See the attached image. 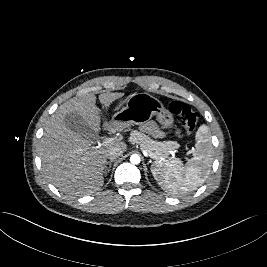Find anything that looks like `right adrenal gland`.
I'll use <instances>...</instances> for the list:
<instances>
[{
	"mask_svg": "<svg viewBox=\"0 0 267 267\" xmlns=\"http://www.w3.org/2000/svg\"><path fill=\"white\" fill-rule=\"evenodd\" d=\"M114 162V160H110L106 163L105 165V173L108 174L110 172V169H111V165L112 163Z\"/></svg>",
	"mask_w": 267,
	"mask_h": 267,
	"instance_id": "obj_1",
	"label": "right adrenal gland"
}]
</instances>
